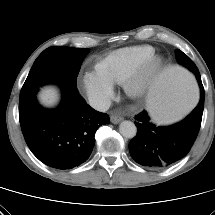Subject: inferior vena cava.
Returning a JSON list of instances; mask_svg holds the SVG:
<instances>
[{"mask_svg":"<svg viewBox=\"0 0 215 215\" xmlns=\"http://www.w3.org/2000/svg\"><path fill=\"white\" fill-rule=\"evenodd\" d=\"M89 103L94 109L100 112L107 111L111 106V100L105 97H92L89 99Z\"/></svg>","mask_w":215,"mask_h":215,"instance_id":"inferior-vena-cava-1","label":"inferior vena cava"}]
</instances>
